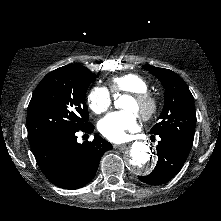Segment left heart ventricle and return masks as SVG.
I'll return each mask as SVG.
<instances>
[{
	"mask_svg": "<svg viewBox=\"0 0 221 221\" xmlns=\"http://www.w3.org/2000/svg\"><path fill=\"white\" fill-rule=\"evenodd\" d=\"M126 110L133 111L134 113H137L139 108L136 102L132 98H128L123 106Z\"/></svg>",
	"mask_w": 221,
	"mask_h": 221,
	"instance_id": "obj_1",
	"label": "left heart ventricle"
}]
</instances>
